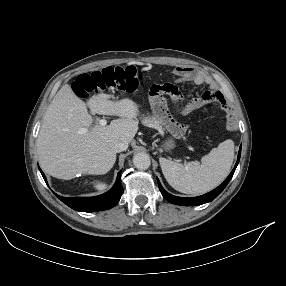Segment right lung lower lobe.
I'll use <instances>...</instances> for the list:
<instances>
[{"label":"right lung lower lobe","instance_id":"98d812e1","mask_svg":"<svg viewBox=\"0 0 286 286\" xmlns=\"http://www.w3.org/2000/svg\"><path fill=\"white\" fill-rule=\"evenodd\" d=\"M45 182L46 177L42 170L39 168ZM123 194V188L121 185V175L120 172L117 175L116 182L111 190L108 192L95 196V197H72L66 198L55 194L63 203L71 207L76 211L83 212H95L101 210H107L112 208L121 198Z\"/></svg>","mask_w":286,"mask_h":286}]
</instances>
